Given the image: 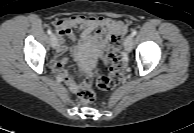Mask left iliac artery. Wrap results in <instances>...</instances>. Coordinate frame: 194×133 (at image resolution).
Instances as JSON below:
<instances>
[{
    "instance_id": "obj_1",
    "label": "left iliac artery",
    "mask_w": 194,
    "mask_h": 133,
    "mask_svg": "<svg viewBox=\"0 0 194 133\" xmlns=\"http://www.w3.org/2000/svg\"><path fill=\"white\" fill-rule=\"evenodd\" d=\"M136 34H137V30L134 29V30L132 31V33H131V36L134 37Z\"/></svg>"
}]
</instances>
